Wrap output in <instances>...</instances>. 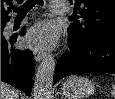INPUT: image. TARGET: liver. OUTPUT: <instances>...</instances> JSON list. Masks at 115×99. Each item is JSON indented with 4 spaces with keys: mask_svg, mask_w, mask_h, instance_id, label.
<instances>
[{
    "mask_svg": "<svg viewBox=\"0 0 115 99\" xmlns=\"http://www.w3.org/2000/svg\"><path fill=\"white\" fill-rule=\"evenodd\" d=\"M1 99H19L18 91L8 84L1 82Z\"/></svg>",
    "mask_w": 115,
    "mask_h": 99,
    "instance_id": "obj_1",
    "label": "liver"
}]
</instances>
